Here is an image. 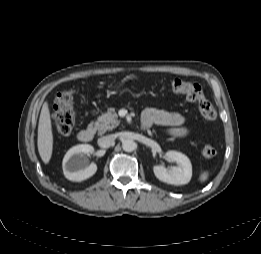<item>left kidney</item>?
<instances>
[{
  "label": "left kidney",
  "mask_w": 261,
  "mask_h": 254,
  "mask_svg": "<svg viewBox=\"0 0 261 254\" xmlns=\"http://www.w3.org/2000/svg\"><path fill=\"white\" fill-rule=\"evenodd\" d=\"M166 160L176 162L178 166L167 170L163 165H155L153 172L162 182L172 185H184L190 182L192 177V165L189 158L177 151H168L165 154Z\"/></svg>",
  "instance_id": "1"
}]
</instances>
